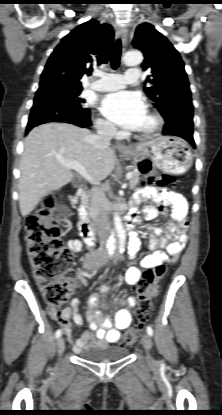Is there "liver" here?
<instances>
[{
  "label": "liver",
  "mask_w": 222,
  "mask_h": 415,
  "mask_svg": "<svg viewBox=\"0 0 222 415\" xmlns=\"http://www.w3.org/2000/svg\"><path fill=\"white\" fill-rule=\"evenodd\" d=\"M91 132L67 123H47L35 127L24 141L20 161L19 207L29 215L48 193L68 184L74 177L71 168L58 158L77 161L94 180L105 179L114 168L115 152L110 147L96 149ZM146 144L137 147L145 149Z\"/></svg>",
  "instance_id": "6515ba94"
}]
</instances>
